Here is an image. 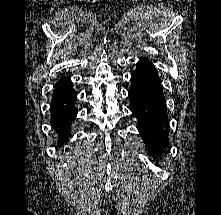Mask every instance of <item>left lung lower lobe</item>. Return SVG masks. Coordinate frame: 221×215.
Instances as JSON below:
<instances>
[{"mask_svg":"<svg viewBox=\"0 0 221 215\" xmlns=\"http://www.w3.org/2000/svg\"><path fill=\"white\" fill-rule=\"evenodd\" d=\"M130 109L138 119V131L144 142L161 153L166 139L165 101L158 72L147 59H140L131 75L128 92Z\"/></svg>","mask_w":221,"mask_h":215,"instance_id":"0a47b994","label":"left lung lower lobe"}]
</instances>
